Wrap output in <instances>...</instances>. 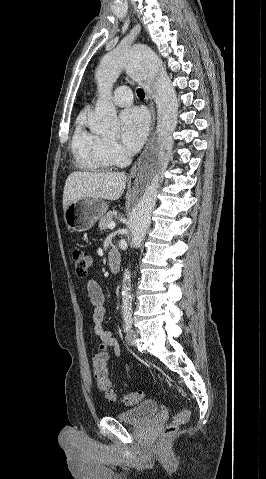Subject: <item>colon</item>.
<instances>
[{
	"label": "colon",
	"instance_id": "5ec220e1",
	"mask_svg": "<svg viewBox=\"0 0 266 479\" xmlns=\"http://www.w3.org/2000/svg\"><path fill=\"white\" fill-rule=\"evenodd\" d=\"M71 261L75 268V272L79 277H86L92 266V257L83 250L76 249L71 254ZM94 377L98 389L111 402L117 400V395L112 389L108 368V353L104 345H100L99 350L93 357ZM143 398L141 391H134L126 394L121 400L126 405H135ZM190 417V412L186 408H180L174 415L171 423L165 428L164 439L174 436L179 426L185 424Z\"/></svg>",
	"mask_w": 266,
	"mask_h": 479
}]
</instances>
